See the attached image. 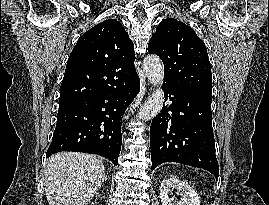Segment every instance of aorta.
Instances as JSON below:
<instances>
[{
  "label": "aorta",
  "instance_id": "1",
  "mask_svg": "<svg viewBox=\"0 0 269 205\" xmlns=\"http://www.w3.org/2000/svg\"><path fill=\"white\" fill-rule=\"evenodd\" d=\"M143 69L148 80L159 87L139 111L138 118L146 121L157 116L163 107L165 96L161 86L164 82V68L158 56L148 55L144 58Z\"/></svg>",
  "mask_w": 269,
  "mask_h": 205
}]
</instances>
